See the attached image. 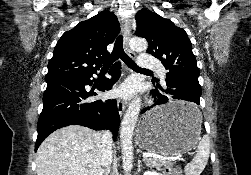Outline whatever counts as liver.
<instances>
[{"label":"liver","instance_id":"6515ba94","mask_svg":"<svg viewBox=\"0 0 251 175\" xmlns=\"http://www.w3.org/2000/svg\"><path fill=\"white\" fill-rule=\"evenodd\" d=\"M101 133L67 125L50 133L36 153L37 175H100Z\"/></svg>","mask_w":251,"mask_h":175}]
</instances>
